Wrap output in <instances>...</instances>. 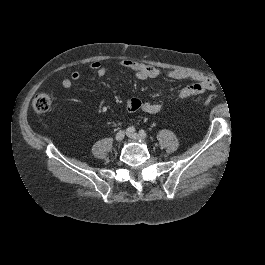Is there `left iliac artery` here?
Here are the masks:
<instances>
[{
  "label": "left iliac artery",
  "mask_w": 265,
  "mask_h": 265,
  "mask_svg": "<svg viewBox=\"0 0 265 265\" xmlns=\"http://www.w3.org/2000/svg\"><path fill=\"white\" fill-rule=\"evenodd\" d=\"M139 134H140V136H142V137H146V136H147V134H146V132H145L144 130H140V131H139Z\"/></svg>",
  "instance_id": "44dca946"
}]
</instances>
